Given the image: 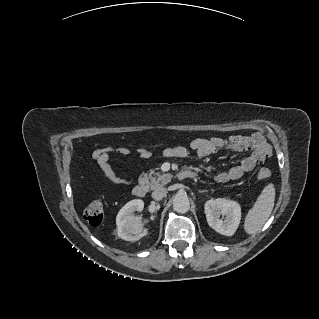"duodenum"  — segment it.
<instances>
[{
	"instance_id": "410a0bca",
	"label": "duodenum",
	"mask_w": 319,
	"mask_h": 319,
	"mask_svg": "<svg viewBox=\"0 0 319 319\" xmlns=\"http://www.w3.org/2000/svg\"><path fill=\"white\" fill-rule=\"evenodd\" d=\"M197 173L191 170H183L177 174V178L180 180L196 178ZM133 195L137 198H144L147 194V188L143 184H137L133 188Z\"/></svg>"
}]
</instances>
